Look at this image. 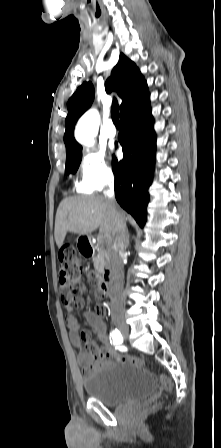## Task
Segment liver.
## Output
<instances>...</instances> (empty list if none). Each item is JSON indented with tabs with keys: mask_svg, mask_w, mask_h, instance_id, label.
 I'll use <instances>...</instances> for the list:
<instances>
[{
	"mask_svg": "<svg viewBox=\"0 0 221 448\" xmlns=\"http://www.w3.org/2000/svg\"><path fill=\"white\" fill-rule=\"evenodd\" d=\"M127 220L126 214L122 211ZM115 226V215L112 213L105 197L77 196L61 201L55 219V241L58 248L64 243L67 232L87 235L99 228L100 233L111 242Z\"/></svg>",
	"mask_w": 221,
	"mask_h": 448,
	"instance_id": "6515ba94",
	"label": "liver"
}]
</instances>
